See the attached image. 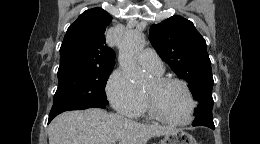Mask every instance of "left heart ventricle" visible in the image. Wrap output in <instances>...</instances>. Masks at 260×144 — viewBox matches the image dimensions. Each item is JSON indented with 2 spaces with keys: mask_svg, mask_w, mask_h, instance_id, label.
<instances>
[{
  "mask_svg": "<svg viewBox=\"0 0 260 144\" xmlns=\"http://www.w3.org/2000/svg\"><path fill=\"white\" fill-rule=\"evenodd\" d=\"M144 90L153 95L156 107L165 117L176 121L189 117L190 101L181 86L169 84L156 89L151 81Z\"/></svg>",
  "mask_w": 260,
  "mask_h": 144,
  "instance_id": "b2bd125f",
  "label": "left heart ventricle"
}]
</instances>
